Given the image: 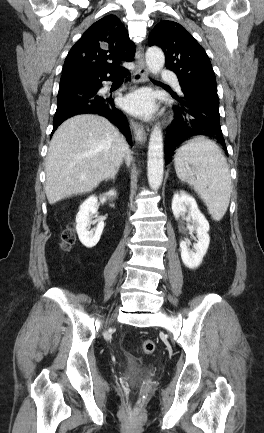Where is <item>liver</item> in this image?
<instances>
[{"mask_svg": "<svg viewBox=\"0 0 264 433\" xmlns=\"http://www.w3.org/2000/svg\"><path fill=\"white\" fill-rule=\"evenodd\" d=\"M121 136L104 117L77 115L59 126L46 156L45 193L50 205L94 190L123 161ZM129 165L132 156H125Z\"/></svg>", "mask_w": 264, "mask_h": 433, "instance_id": "liver-1", "label": "liver"}]
</instances>
